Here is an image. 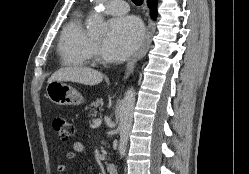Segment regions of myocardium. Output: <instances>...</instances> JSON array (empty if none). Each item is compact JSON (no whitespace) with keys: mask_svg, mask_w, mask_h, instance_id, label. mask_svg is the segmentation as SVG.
Masks as SVG:
<instances>
[{"mask_svg":"<svg viewBox=\"0 0 249 174\" xmlns=\"http://www.w3.org/2000/svg\"><path fill=\"white\" fill-rule=\"evenodd\" d=\"M91 47H92L93 51L96 53V59L98 61H102L101 58H100V56H99L98 47H97L96 43L92 42Z\"/></svg>","mask_w":249,"mask_h":174,"instance_id":"myocardium-1","label":"myocardium"}]
</instances>
